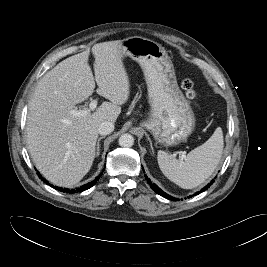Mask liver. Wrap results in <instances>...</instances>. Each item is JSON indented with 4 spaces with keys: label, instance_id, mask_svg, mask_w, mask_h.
Segmentation results:
<instances>
[{
    "label": "liver",
    "instance_id": "1",
    "mask_svg": "<svg viewBox=\"0 0 267 267\" xmlns=\"http://www.w3.org/2000/svg\"><path fill=\"white\" fill-rule=\"evenodd\" d=\"M121 40L95 44V81L103 102L93 113L76 117L70 112L94 92L89 51L58 63L38 82L28 105L27 145L33 162L50 182L70 187L90 170L99 125L115 123L127 102L130 82L120 53ZM80 110H89L84 107Z\"/></svg>",
    "mask_w": 267,
    "mask_h": 267
}]
</instances>
